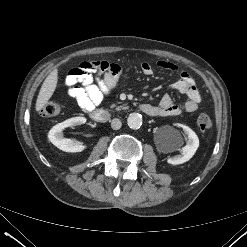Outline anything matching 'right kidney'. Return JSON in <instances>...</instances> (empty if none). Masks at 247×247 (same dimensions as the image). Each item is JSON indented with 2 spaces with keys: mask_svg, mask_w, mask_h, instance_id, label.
Segmentation results:
<instances>
[{
  "mask_svg": "<svg viewBox=\"0 0 247 247\" xmlns=\"http://www.w3.org/2000/svg\"><path fill=\"white\" fill-rule=\"evenodd\" d=\"M85 117H73L67 119L61 123L55 125L48 133V138L50 142L65 152H81L86 149V145H82L80 142H76L72 139H67L63 137V130L67 127L76 126L79 124H85Z\"/></svg>",
  "mask_w": 247,
  "mask_h": 247,
  "instance_id": "obj_1",
  "label": "right kidney"
}]
</instances>
